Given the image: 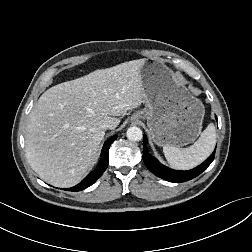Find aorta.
Returning <instances> with one entry per match:
<instances>
[{"label": "aorta", "mask_w": 252, "mask_h": 252, "mask_svg": "<svg viewBox=\"0 0 252 252\" xmlns=\"http://www.w3.org/2000/svg\"><path fill=\"white\" fill-rule=\"evenodd\" d=\"M126 136L128 140L132 142H138L142 140L143 133L142 130L139 127L133 126L127 129Z\"/></svg>", "instance_id": "1"}]
</instances>
